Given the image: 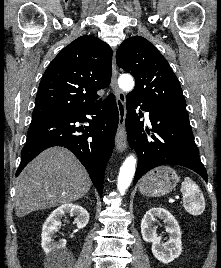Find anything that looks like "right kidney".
Listing matches in <instances>:
<instances>
[{
    "mask_svg": "<svg viewBox=\"0 0 221 268\" xmlns=\"http://www.w3.org/2000/svg\"><path fill=\"white\" fill-rule=\"evenodd\" d=\"M65 214L75 216V223L78 229L84 228L89 222V213L80 205L64 204L55 209L45 221L42 234L41 246L48 254H55L66 246V240L62 239L54 242L53 234L58 231V226L61 224V218Z\"/></svg>",
    "mask_w": 221,
    "mask_h": 268,
    "instance_id": "obj_1",
    "label": "right kidney"
}]
</instances>
